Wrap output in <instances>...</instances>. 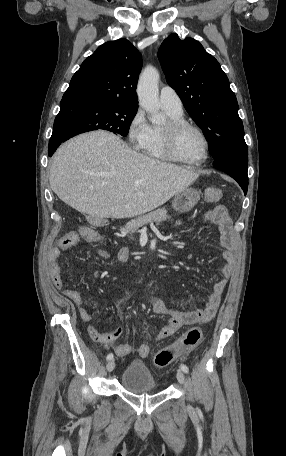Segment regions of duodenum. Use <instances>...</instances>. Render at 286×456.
Returning <instances> with one entry per match:
<instances>
[{"label": "duodenum", "instance_id": "1", "mask_svg": "<svg viewBox=\"0 0 286 456\" xmlns=\"http://www.w3.org/2000/svg\"><path fill=\"white\" fill-rule=\"evenodd\" d=\"M97 221H98L99 225H105L107 223V221L105 219H101V218L97 219Z\"/></svg>", "mask_w": 286, "mask_h": 456}]
</instances>
